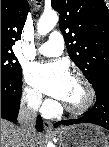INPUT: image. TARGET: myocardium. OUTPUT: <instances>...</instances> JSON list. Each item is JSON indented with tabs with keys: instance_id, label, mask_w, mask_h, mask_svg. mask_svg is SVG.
<instances>
[{
	"instance_id": "1",
	"label": "myocardium",
	"mask_w": 109,
	"mask_h": 147,
	"mask_svg": "<svg viewBox=\"0 0 109 147\" xmlns=\"http://www.w3.org/2000/svg\"><path fill=\"white\" fill-rule=\"evenodd\" d=\"M71 78L78 79L84 84V86L86 87L88 91V98L86 102L79 107H71L63 101L62 108L63 110H65L66 112L72 115H80V114L87 112L93 106L95 99H96V92H95V89L92 83L89 81V79L84 74L75 72L71 75ZM48 115L52 116L53 113H49Z\"/></svg>"
}]
</instances>
